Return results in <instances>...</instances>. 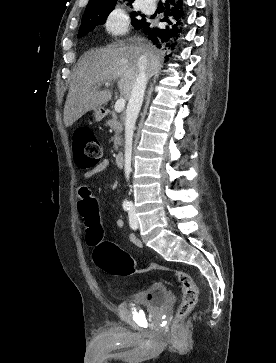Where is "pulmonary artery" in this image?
<instances>
[{
	"label": "pulmonary artery",
	"instance_id": "pulmonary-artery-1",
	"mask_svg": "<svg viewBox=\"0 0 276 363\" xmlns=\"http://www.w3.org/2000/svg\"><path fill=\"white\" fill-rule=\"evenodd\" d=\"M149 3H152V0L143 1V10H144V12H146L148 14L154 12V8L149 7Z\"/></svg>",
	"mask_w": 276,
	"mask_h": 363
}]
</instances>
